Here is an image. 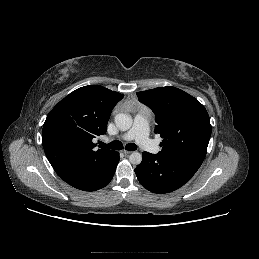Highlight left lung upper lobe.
I'll list each match as a JSON object with an SVG mask.
<instances>
[{"mask_svg":"<svg viewBox=\"0 0 259 259\" xmlns=\"http://www.w3.org/2000/svg\"><path fill=\"white\" fill-rule=\"evenodd\" d=\"M137 96L155 114V133L163 137L158 155L200 167L212 130L205 107L172 86L137 92Z\"/></svg>","mask_w":259,"mask_h":259,"instance_id":"left-lung-upper-lobe-1","label":"left lung upper lobe"}]
</instances>
